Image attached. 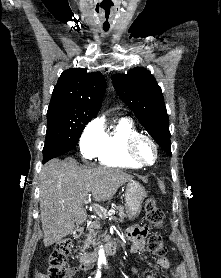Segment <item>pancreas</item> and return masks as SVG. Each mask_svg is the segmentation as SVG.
I'll return each instance as SVG.
<instances>
[{"label": "pancreas", "mask_w": 221, "mask_h": 278, "mask_svg": "<svg viewBox=\"0 0 221 278\" xmlns=\"http://www.w3.org/2000/svg\"><path fill=\"white\" fill-rule=\"evenodd\" d=\"M118 216H119V220L122 222L125 217H126V213L124 211V208L121 206H118L116 208ZM103 218H105V215H102ZM102 223L101 221L98 219L96 222H90V224L88 225L89 228V234L86 235V239L83 241V249L81 250V252H85V250L90 246V244L93 243L94 240V234L96 233L98 227H101Z\"/></svg>", "instance_id": "cf45deb5"}]
</instances>
